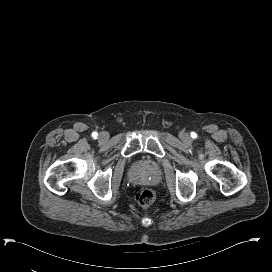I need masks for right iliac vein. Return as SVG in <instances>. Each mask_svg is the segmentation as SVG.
I'll return each instance as SVG.
<instances>
[{
    "mask_svg": "<svg viewBox=\"0 0 272 272\" xmlns=\"http://www.w3.org/2000/svg\"><path fill=\"white\" fill-rule=\"evenodd\" d=\"M99 139L102 140V141H105L108 139V134L106 132H101L99 134Z\"/></svg>",
    "mask_w": 272,
    "mask_h": 272,
    "instance_id": "63e3f726",
    "label": "right iliac vein"
}]
</instances>
